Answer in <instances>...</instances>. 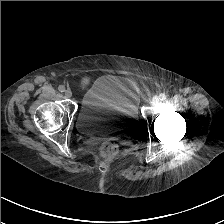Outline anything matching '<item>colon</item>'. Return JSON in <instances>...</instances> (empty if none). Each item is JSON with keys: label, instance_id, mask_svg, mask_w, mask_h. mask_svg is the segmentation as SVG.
I'll return each mask as SVG.
<instances>
[{"label": "colon", "instance_id": "5ec220e1", "mask_svg": "<svg viewBox=\"0 0 224 224\" xmlns=\"http://www.w3.org/2000/svg\"><path fill=\"white\" fill-rule=\"evenodd\" d=\"M101 151L106 156H113L117 153L118 147L115 143L107 142L102 145Z\"/></svg>", "mask_w": 224, "mask_h": 224}]
</instances>
